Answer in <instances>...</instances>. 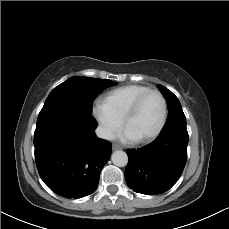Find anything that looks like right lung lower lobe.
<instances>
[{
	"label": "right lung lower lobe",
	"mask_w": 229,
	"mask_h": 229,
	"mask_svg": "<svg viewBox=\"0 0 229 229\" xmlns=\"http://www.w3.org/2000/svg\"><path fill=\"white\" fill-rule=\"evenodd\" d=\"M90 113L57 109L39 113L34 133L35 160L41 179L56 194L81 198L97 187L111 144L96 137Z\"/></svg>",
	"instance_id": "1"
}]
</instances>
